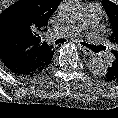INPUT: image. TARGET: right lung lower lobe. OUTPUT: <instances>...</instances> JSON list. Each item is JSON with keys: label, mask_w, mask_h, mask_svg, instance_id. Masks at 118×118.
<instances>
[{"label": "right lung lower lobe", "mask_w": 118, "mask_h": 118, "mask_svg": "<svg viewBox=\"0 0 118 118\" xmlns=\"http://www.w3.org/2000/svg\"><path fill=\"white\" fill-rule=\"evenodd\" d=\"M4 67L16 76H35L40 71L37 62L30 57H2L0 58Z\"/></svg>", "instance_id": "right-lung-lower-lobe-1"}]
</instances>
